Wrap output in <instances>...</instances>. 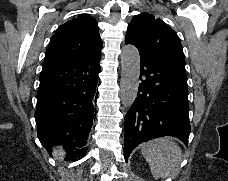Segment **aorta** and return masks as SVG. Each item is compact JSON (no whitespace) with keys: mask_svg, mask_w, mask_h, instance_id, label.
Wrapping results in <instances>:
<instances>
[{"mask_svg":"<svg viewBox=\"0 0 228 181\" xmlns=\"http://www.w3.org/2000/svg\"><path fill=\"white\" fill-rule=\"evenodd\" d=\"M120 99L129 108L136 99L139 87L140 55L133 45H125L121 50Z\"/></svg>","mask_w":228,"mask_h":181,"instance_id":"762f6f07","label":"aorta"}]
</instances>
